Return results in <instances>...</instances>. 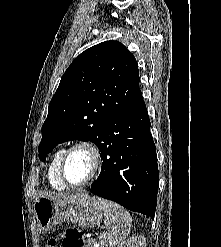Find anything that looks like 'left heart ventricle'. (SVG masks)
Masks as SVG:
<instances>
[{
	"label": "left heart ventricle",
	"mask_w": 221,
	"mask_h": 247,
	"mask_svg": "<svg viewBox=\"0 0 221 247\" xmlns=\"http://www.w3.org/2000/svg\"><path fill=\"white\" fill-rule=\"evenodd\" d=\"M92 170V158L89 152L78 149L68 158L66 163V177L71 183L84 181Z\"/></svg>",
	"instance_id": "b2bd125f"
}]
</instances>
